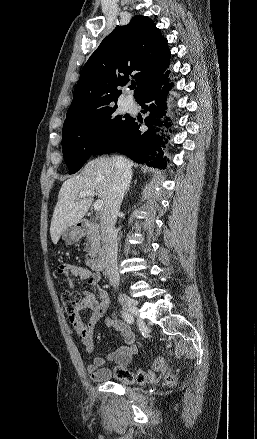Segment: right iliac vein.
<instances>
[{
    "label": "right iliac vein",
    "instance_id": "obj_1",
    "mask_svg": "<svg viewBox=\"0 0 257 439\" xmlns=\"http://www.w3.org/2000/svg\"><path fill=\"white\" fill-rule=\"evenodd\" d=\"M118 301L126 312L131 313L133 315L138 314V310L136 306L137 303L134 299L130 298L124 293H119Z\"/></svg>",
    "mask_w": 257,
    "mask_h": 439
}]
</instances>
